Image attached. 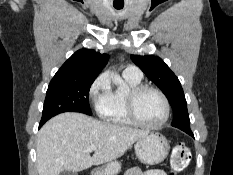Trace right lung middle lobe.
Here are the masks:
<instances>
[{
  "mask_svg": "<svg viewBox=\"0 0 233 175\" xmlns=\"http://www.w3.org/2000/svg\"><path fill=\"white\" fill-rule=\"evenodd\" d=\"M94 80L95 78L52 80L47 89L40 123H45L51 117L63 112L92 115L89 106V90Z\"/></svg>",
  "mask_w": 233,
  "mask_h": 175,
  "instance_id": "1",
  "label": "right lung middle lobe"
}]
</instances>
